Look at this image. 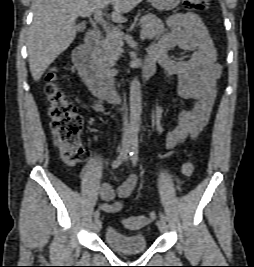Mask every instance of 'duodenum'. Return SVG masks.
Returning a JSON list of instances; mask_svg holds the SVG:
<instances>
[{"instance_id":"1","label":"duodenum","mask_w":254,"mask_h":267,"mask_svg":"<svg viewBox=\"0 0 254 267\" xmlns=\"http://www.w3.org/2000/svg\"><path fill=\"white\" fill-rule=\"evenodd\" d=\"M101 35L97 30L89 31L84 43L73 52V62L91 91L101 100L113 101L120 97L114 86V75L102 69L95 61L94 54L101 45ZM155 71V60L146 57L140 69V76L148 78Z\"/></svg>"}]
</instances>
